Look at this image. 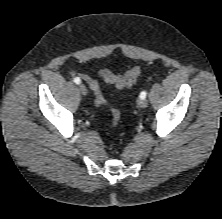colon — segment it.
<instances>
[{"instance_id":"1","label":"colon","mask_w":222,"mask_h":219,"mask_svg":"<svg viewBox=\"0 0 222 219\" xmlns=\"http://www.w3.org/2000/svg\"><path fill=\"white\" fill-rule=\"evenodd\" d=\"M141 69L138 65H134L128 69L124 75H117L111 70L102 68L98 71V75L107 83L114 85L115 87L122 89L133 85L140 76ZM90 88L94 92L95 102L97 105L106 104V100L98 86V84L91 83ZM120 112L118 109H112V122L114 126H117L120 121Z\"/></svg>"}]
</instances>
